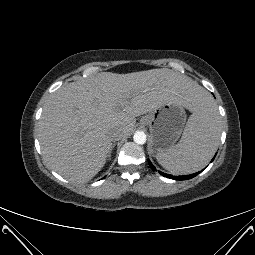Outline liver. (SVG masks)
I'll return each mask as SVG.
<instances>
[{"label": "liver", "mask_w": 255, "mask_h": 255, "mask_svg": "<svg viewBox=\"0 0 255 255\" xmlns=\"http://www.w3.org/2000/svg\"><path fill=\"white\" fill-rule=\"evenodd\" d=\"M208 95L188 77L167 68L128 74L102 72L55 91L39 120L44 159L64 178L81 183L92 179L112 150L110 133L128 137L136 117L165 101L195 111Z\"/></svg>", "instance_id": "6515ba94"}]
</instances>
